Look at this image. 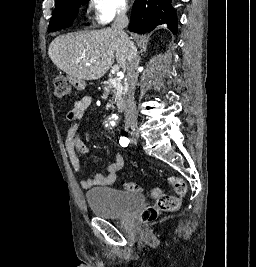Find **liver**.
Masks as SVG:
<instances>
[{
  "label": "liver",
  "instance_id": "6515ba94",
  "mask_svg": "<svg viewBox=\"0 0 256 267\" xmlns=\"http://www.w3.org/2000/svg\"><path fill=\"white\" fill-rule=\"evenodd\" d=\"M129 44L112 28L82 30L58 36L48 50L53 64L68 74L69 80H99L112 68L114 60L127 68Z\"/></svg>",
  "mask_w": 256,
  "mask_h": 267
}]
</instances>
